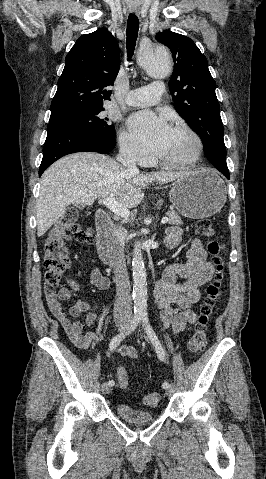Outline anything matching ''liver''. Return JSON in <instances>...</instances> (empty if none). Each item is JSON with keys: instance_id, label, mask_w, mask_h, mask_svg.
Here are the masks:
<instances>
[{"instance_id": "obj_1", "label": "liver", "mask_w": 266, "mask_h": 479, "mask_svg": "<svg viewBox=\"0 0 266 479\" xmlns=\"http://www.w3.org/2000/svg\"><path fill=\"white\" fill-rule=\"evenodd\" d=\"M186 173L133 174L112 158L93 152L68 155L42 175L37 201V235L51 228L70 204L92 205L96 198L113 195L128 208L144 199L142 188L155 181L168 183Z\"/></svg>"}]
</instances>
